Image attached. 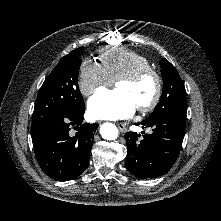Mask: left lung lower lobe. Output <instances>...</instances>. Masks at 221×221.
Listing matches in <instances>:
<instances>
[{
	"label": "left lung lower lobe",
	"instance_id": "0a47b994",
	"mask_svg": "<svg viewBox=\"0 0 221 221\" xmlns=\"http://www.w3.org/2000/svg\"><path fill=\"white\" fill-rule=\"evenodd\" d=\"M186 110H174L137 125L151 127V134L127 132V170L139 178H152L165 174L175 163L185 135ZM144 133V132H143Z\"/></svg>",
	"mask_w": 221,
	"mask_h": 221
}]
</instances>
